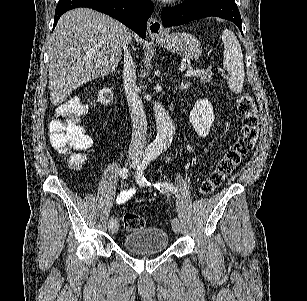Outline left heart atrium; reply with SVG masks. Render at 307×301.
I'll return each mask as SVG.
<instances>
[{
  "label": "left heart atrium",
  "instance_id": "left-heart-atrium-1",
  "mask_svg": "<svg viewBox=\"0 0 307 301\" xmlns=\"http://www.w3.org/2000/svg\"><path fill=\"white\" fill-rule=\"evenodd\" d=\"M165 4H174L175 0H164Z\"/></svg>",
  "mask_w": 307,
  "mask_h": 301
}]
</instances>
